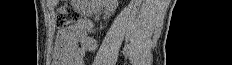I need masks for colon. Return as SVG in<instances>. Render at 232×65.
I'll list each match as a JSON object with an SVG mask.
<instances>
[{"instance_id":"1","label":"colon","mask_w":232,"mask_h":65,"mask_svg":"<svg viewBox=\"0 0 232 65\" xmlns=\"http://www.w3.org/2000/svg\"><path fill=\"white\" fill-rule=\"evenodd\" d=\"M79 21H80V14L72 5L67 4L58 9L56 16V26L59 29L62 30L72 27L73 25L77 24ZM57 47H58L59 56L63 57L65 55V52L63 49V40L61 38L57 39Z\"/></svg>"}]
</instances>
